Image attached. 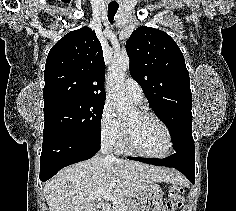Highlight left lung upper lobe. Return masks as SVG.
I'll return each mask as SVG.
<instances>
[{"label":"left lung upper lobe","mask_w":236,"mask_h":211,"mask_svg":"<svg viewBox=\"0 0 236 211\" xmlns=\"http://www.w3.org/2000/svg\"><path fill=\"white\" fill-rule=\"evenodd\" d=\"M131 76L170 131L175 153H194L192 94L184 56L165 32L141 26L126 42Z\"/></svg>","instance_id":"1"}]
</instances>
